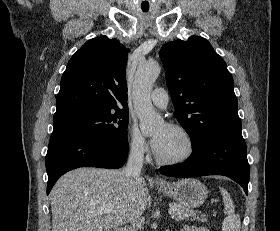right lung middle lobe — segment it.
<instances>
[{"instance_id": "1", "label": "right lung middle lobe", "mask_w": 280, "mask_h": 231, "mask_svg": "<svg viewBox=\"0 0 280 231\" xmlns=\"http://www.w3.org/2000/svg\"><path fill=\"white\" fill-rule=\"evenodd\" d=\"M128 111L71 118L53 122V133H79L100 140H127Z\"/></svg>"}]
</instances>
